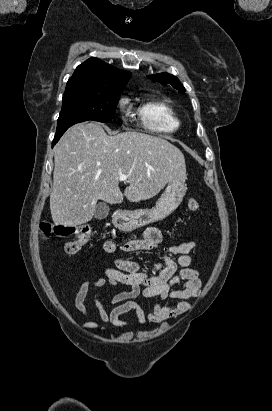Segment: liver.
Here are the masks:
<instances>
[{"label":"liver","mask_w":272,"mask_h":411,"mask_svg":"<svg viewBox=\"0 0 272 411\" xmlns=\"http://www.w3.org/2000/svg\"><path fill=\"white\" fill-rule=\"evenodd\" d=\"M50 211L56 226L89 222L98 200L123 202L119 175L128 176L130 202L156 196L174 180L185 181L182 152L163 138L139 132L106 134L98 123L69 128L54 149Z\"/></svg>","instance_id":"liver-1"}]
</instances>
